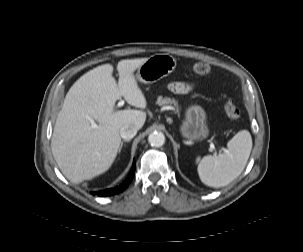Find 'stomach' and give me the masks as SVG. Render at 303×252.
<instances>
[{"instance_id": "obj_1", "label": "stomach", "mask_w": 303, "mask_h": 252, "mask_svg": "<svg viewBox=\"0 0 303 252\" xmlns=\"http://www.w3.org/2000/svg\"><path fill=\"white\" fill-rule=\"evenodd\" d=\"M176 67V60L169 54L149 57L137 70L136 79L151 84L166 77ZM183 138L189 141H202L209 136L207 115L200 105H191L185 111V119L179 128Z\"/></svg>"}]
</instances>
